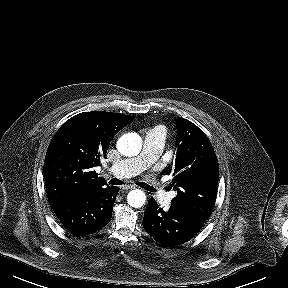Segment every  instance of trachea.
Wrapping results in <instances>:
<instances>
[{
	"instance_id": "3493384b",
	"label": "trachea",
	"mask_w": 288,
	"mask_h": 288,
	"mask_svg": "<svg viewBox=\"0 0 288 288\" xmlns=\"http://www.w3.org/2000/svg\"><path fill=\"white\" fill-rule=\"evenodd\" d=\"M109 183L112 184V185H122L123 184V182L121 180L117 179V178L111 179L109 181ZM137 185L142 187V188H144L147 191L154 192V189L151 186H149L147 183L138 182Z\"/></svg>"
}]
</instances>
